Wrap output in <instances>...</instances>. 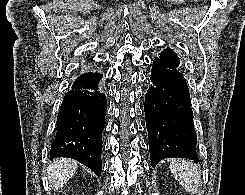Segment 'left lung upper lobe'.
Wrapping results in <instances>:
<instances>
[{
	"label": "left lung upper lobe",
	"instance_id": "left-lung-upper-lobe-1",
	"mask_svg": "<svg viewBox=\"0 0 245 195\" xmlns=\"http://www.w3.org/2000/svg\"><path fill=\"white\" fill-rule=\"evenodd\" d=\"M159 58L165 59L171 63H173L176 67H179V58L177 54L173 52L171 49H165L160 53Z\"/></svg>",
	"mask_w": 245,
	"mask_h": 195
}]
</instances>
